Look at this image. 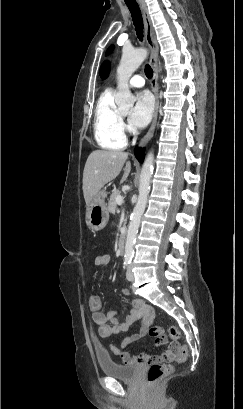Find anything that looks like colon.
I'll use <instances>...</instances> for the list:
<instances>
[{"instance_id":"5ec220e1","label":"colon","mask_w":243,"mask_h":409,"mask_svg":"<svg viewBox=\"0 0 243 409\" xmlns=\"http://www.w3.org/2000/svg\"><path fill=\"white\" fill-rule=\"evenodd\" d=\"M90 309L93 312H99L101 309V301L97 297H92L90 299ZM150 334L158 341L165 338L164 329L161 327H152L150 329ZM168 334L173 340H180V333L176 327H170L168 329ZM188 355V349L185 344L179 343L177 349V361L183 362ZM173 371V366L169 363H153L147 373V381L150 384H157L159 381L167 377Z\"/></svg>"}]
</instances>
